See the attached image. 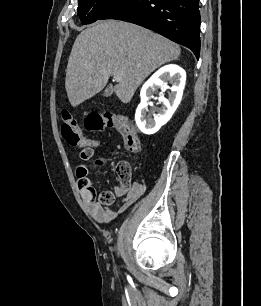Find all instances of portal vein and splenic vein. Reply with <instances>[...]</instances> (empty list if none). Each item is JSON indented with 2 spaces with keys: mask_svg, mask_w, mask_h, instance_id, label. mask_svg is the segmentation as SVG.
Masks as SVG:
<instances>
[{
  "mask_svg": "<svg viewBox=\"0 0 261 306\" xmlns=\"http://www.w3.org/2000/svg\"><path fill=\"white\" fill-rule=\"evenodd\" d=\"M122 77L120 75H114L115 81H121Z\"/></svg>",
  "mask_w": 261,
  "mask_h": 306,
  "instance_id": "1",
  "label": "portal vein and splenic vein"
}]
</instances>
